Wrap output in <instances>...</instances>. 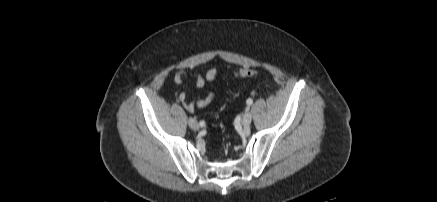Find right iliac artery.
Segmentation results:
<instances>
[{
    "instance_id": "right-iliac-artery-1",
    "label": "right iliac artery",
    "mask_w": 437,
    "mask_h": 202,
    "mask_svg": "<svg viewBox=\"0 0 437 202\" xmlns=\"http://www.w3.org/2000/svg\"><path fill=\"white\" fill-rule=\"evenodd\" d=\"M199 124H200L201 127L205 126V122L204 121H200Z\"/></svg>"
}]
</instances>
